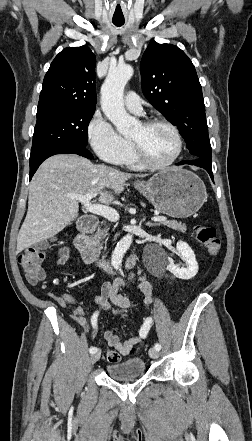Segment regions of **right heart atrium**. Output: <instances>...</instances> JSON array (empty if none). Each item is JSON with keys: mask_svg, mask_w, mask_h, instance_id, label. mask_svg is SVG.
Returning a JSON list of instances; mask_svg holds the SVG:
<instances>
[{"mask_svg": "<svg viewBox=\"0 0 252 441\" xmlns=\"http://www.w3.org/2000/svg\"><path fill=\"white\" fill-rule=\"evenodd\" d=\"M86 133L94 153L108 163L122 165L132 150L130 141L123 138L98 111L90 119Z\"/></svg>", "mask_w": 252, "mask_h": 441, "instance_id": "1", "label": "right heart atrium"}]
</instances>
